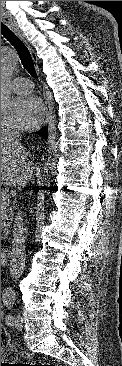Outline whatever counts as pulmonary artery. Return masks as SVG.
<instances>
[{"mask_svg":"<svg viewBox=\"0 0 122 366\" xmlns=\"http://www.w3.org/2000/svg\"><path fill=\"white\" fill-rule=\"evenodd\" d=\"M11 88L17 94H26L33 90V84L26 78L18 77L11 82Z\"/></svg>","mask_w":122,"mask_h":366,"instance_id":"pulmonary-artery-1","label":"pulmonary artery"}]
</instances>
